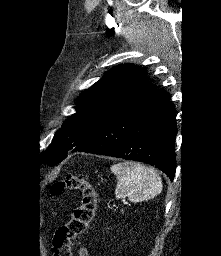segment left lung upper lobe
I'll return each mask as SVG.
<instances>
[{"mask_svg": "<svg viewBox=\"0 0 221 256\" xmlns=\"http://www.w3.org/2000/svg\"><path fill=\"white\" fill-rule=\"evenodd\" d=\"M146 70L132 64L118 65L105 73L77 100L76 113L56 132L42 155V163L58 164L108 123L139 106L156 87L145 81Z\"/></svg>", "mask_w": 221, "mask_h": 256, "instance_id": "1", "label": "left lung upper lobe"}]
</instances>
